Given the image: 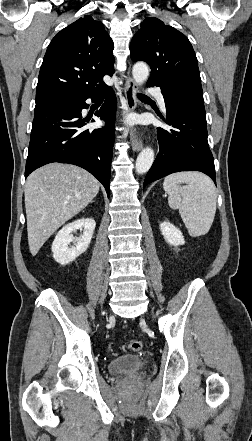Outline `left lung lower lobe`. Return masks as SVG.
Segmentation results:
<instances>
[{
	"label": "left lung lower lobe",
	"instance_id": "obj_1",
	"mask_svg": "<svg viewBox=\"0 0 252 441\" xmlns=\"http://www.w3.org/2000/svg\"><path fill=\"white\" fill-rule=\"evenodd\" d=\"M161 90L167 112L165 122L171 129H157L159 153L145 177L144 186L174 172L193 170L207 174L216 182L204 103L183 91Z\"/></svg>",
	"mask_w": 252,
	"mask_h": 441
}]
</instances>
